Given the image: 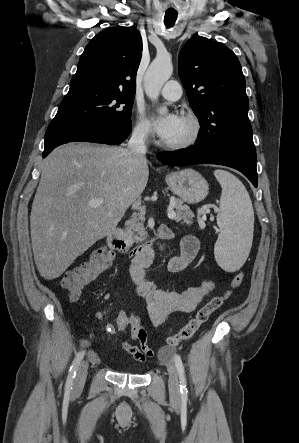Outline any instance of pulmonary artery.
I'll list each match as a JSON object with an SVG mask.
<instances>
[{
    "mask_svg": "<svg viewBox=\"0 0 299 443\" xmlns=\"http://www.w3.org/2000/svg\"><path fill=\"white\" fill-rule=\"evenodd\" d=\"M163 98L169 101H176L182 95V87L179 82L175 80L168 81L160 91Z\"/></svg>",
    "mask_w": 299,
    "mask_h": 443,
    "instance_id": "pulmonary-artery-1",
    "label": "pulmonary artery"
}]
</instances>
